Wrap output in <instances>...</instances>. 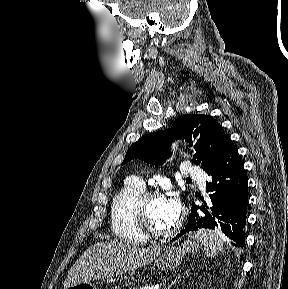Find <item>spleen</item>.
I'll use <instances>...</instances> for the list:
<instances>
[{"label": "spleen", "instance_id": "3e777b00", "mask_svg": "<svg viewBox=\"0 0 288 289\" xmlns=\"http://www.w3.org/2000/svg\"><path fill=\"white\" fill-rule=\"evenodd\" d=\"M194 238L204 246L205 254L208 257L216 255L223 250V237L219 230H204L201 229L193 234Z\"/></svg>", "mask_w": 288, "mask_h": 289}]
</instances>
